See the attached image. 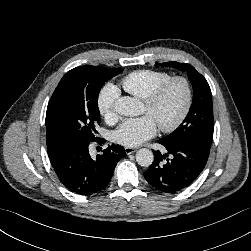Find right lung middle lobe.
Listing matches in <instances>:
<instances>
[{"mask_svg": "<svg viewBox=\"0 0 251 251\" xmlns=\"http://www.w3.org/2000/svg\"><path fill=\"white\" fill-rule=\"evenodd\" d=\"M122 68L81 66L68 71L55 89L46 112V136L63 141H96L100 123L98 95L103 84Z\"/></svg>", "mask_w": 251, "mask_h": 251, "instance_id": "right-lung-middle-lobe-1", "label": "right lung middle lobe"}]
</instances>
